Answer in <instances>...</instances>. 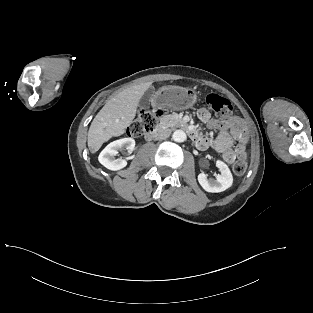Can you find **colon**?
I'll return each instance as SVG.
<instances>
[{
	"instance_id": "5ec220e1",
	"label": "colon",
	"mask_w": 313,
	"mask_h": 313,
	"mask_svg": "<svg viewBox=\"0 0 313 313\" xmlns=\"http://www.w3.org/2000/svg\"><path fill=\"white\" fill-rule=\"evenodd\" d=\"M206 103L221 117L228 116L232 110L231 102L217 94H209L206 98ZM162 113L163 112L159 109L141 110L128 127V135L139 137L153 131L157 127L158 120ZM223 157L226 161L232 163V170L235 175L241 176L246 172V158H234L230 152L225 153Z\"/></svg>"
}]
</instances>
